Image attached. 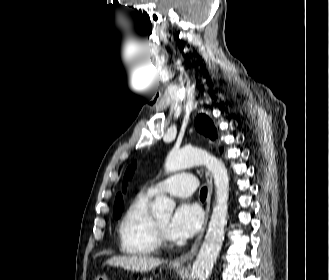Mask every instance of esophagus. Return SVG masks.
<instances>
[{"label":"esophagus","instance_id":"1","mask_svg":"<svg viewBox=\"0 0 329 280\" xmlns=\"http://www.w3.org/2000/svg\"><path fill=\"white\" fill-rule=\"evenodd\" d=\"M205 175H206L207 182H208V196H207V204H206V216H205V221H204L203 227H202L198 237L196 238L195 242L193 243L190 251H188V253L181 255L180 257H177L176 259H174L172 261V264H174V265H182L185 262L191 261L197 254L198 249L201 245V241L203 239L207 221H208L209 210H210V201H211V196H212V191H213L212 175L208 170L205 171Z\"/></svg>","mask_w":329,"mask_h":280}]
</instances>
